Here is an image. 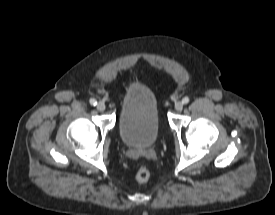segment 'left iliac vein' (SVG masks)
<instances>
[{"label":"left iliac vein","mask_w":275,"mask_h":215,"mask_svg":"<svg viewBox=\"0 0 275 215\" xmlns=\"http://www.w3.org/2000/svg\"><path fill=\"white\" fill-rule=\"evenodd\" d=\"M175 109L177 111H181L183 109V102L181 101H178L176 104H175Z\"/></svg>","instance_id":"1"}]
</instances>
